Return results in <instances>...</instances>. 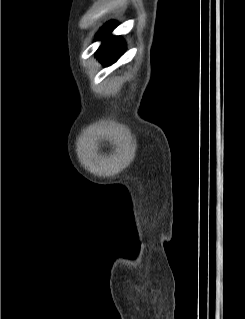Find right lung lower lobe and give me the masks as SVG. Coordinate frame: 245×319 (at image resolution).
<instances>
[{"mask_svg": "<svg viewBox=\"0 0 245 319\" xmlns=\"http://www.w3.org/2000/svg\"><path fill=\"white\" fill-rule=\"evenodd\" d=\"M117 26L115 22H109L97 34L96 39H104L97 51V57L104 66L114 63L125 51L124 42L119 37L109 36Z\"/></svg>", "mask_w": 245, "mask_h": 319, "instance_id": "right-lung-lower-lobe-1", "label": "right lung lower lobe"}]
</instances>
